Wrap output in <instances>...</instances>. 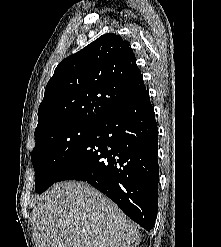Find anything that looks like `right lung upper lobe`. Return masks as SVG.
Segmentation results:
<instances>
[{"label":"right lung upper lobe","instance_id":"obj_1","mask_svg":"<svg viewBox=\"0 0 221 247\" xmlns=\"http://www.w3.org/2000/svg\"><path fill=\"white\" fill-rule=\"evenodd\" d=\"M146 90L128 41L104 34L56 67L38 110L35 135L69 123H99Z\"/></svg>","mask_w":221,"mask_h":247}]
</instances>
